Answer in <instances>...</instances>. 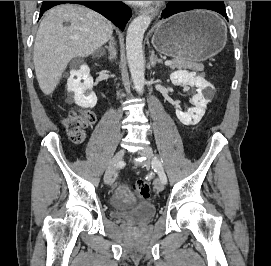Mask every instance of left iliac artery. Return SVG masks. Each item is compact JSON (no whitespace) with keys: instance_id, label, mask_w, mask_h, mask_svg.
<instances>
[{"instance_id":"1","label":"left iliac artery","mask_w":271,"mask_h":266,"mask_svg":"<svg viewBox=\"0 0 271 266\" xmlns=\"http://www.w3.org/2000/svg\"><path fill=\"white\" fill-rule=\"evenodd\" d=\"M152 167L158 173V175H159L160 179L162 180V182L164 184H166L167 183V177H166L165 172L163 170L162 163L159 160H155V161L152 162Z\"/></svg>"}]
</instances>
